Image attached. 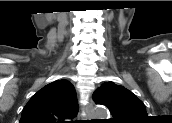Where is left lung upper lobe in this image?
I'll return each mask as SVG.
<instances>
[{"mask_svg": "<svg viewBox=\"0 0 172 123\" xmlns=\"http://www.w3.org/2000/svg\"><path fill=\"white\" fill-rule=\"evenodd\" d=\"M96 104L108 107L111 123H142L148 115L144 103L130 90L114 82L103 83L94 93Z\"/></svg>", "mask_w": 172, "mask_h": 123, "instance_id": "left-lung-upper-lobe-1", "label": "left lung upper lobe"}]
</instances>
